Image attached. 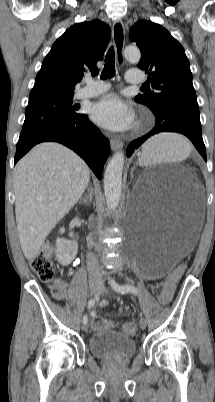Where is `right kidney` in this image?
<instances>
[{
  "instance_id": "ca27d5eb",
  "label": "right kidney",
  "mask_w": 215,
  "mask_h": 402,
  "mask_svg": "<svg viewBox=\"0 0 215 402\" xmlns=\"http://www.w3.org/2000/svg\"><path fill=\"white\" fill-rule=\"evenodd\" d=\"M65 229L61 228L60 233H64ZM78 244L75 241L58 238L56 240V258L61 265H69L76 257Z\"/></svg>"
}]
</instances>
